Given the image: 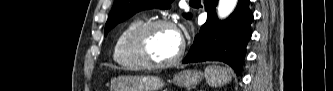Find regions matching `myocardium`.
<instances>
[{"instance_id": "f54148a6", "label": "myocardium", "mask_w": 333, "mask_h": 91, "mask_svg": "<svg viewBox=\"0 0 333 91\" xmlns=\"http://www.w3.org/2000/svg\"><path fill=\"white\" fill-rule=\"evenodd\" d=\"M162 27L172 28L177 31V28L173 22L159 19L142 23L136 29H134L129 36L128 39L129 54L133 58V60L137 62L139 65H141L143 68L147 69L168 68L177 64L184 55L185 43L183 39H181V45L179 51L172 59L163 62H155L149 58L146 50V40L152 31Z\"/></svg>"}]
</instances>
